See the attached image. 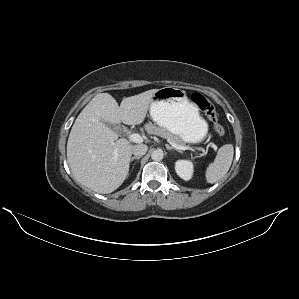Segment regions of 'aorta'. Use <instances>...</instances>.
<instances>
[{
    "label": "aorta",
    "mask_w": 299,
    "mask_h": 299,
    "mask_svg": "<svg viewBox=\"0 0 299 299\" xmlns=\"http://www.w3.org/2000/svg\"><path fill=\"white\" fill-rule=\"evenodd\" d=\"M163 157H164V153L161 149H156L151 154V158L154 161H160L163 159Z\"/></svg>",
    "instance_id": "1"
}]
</instances>
